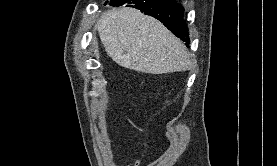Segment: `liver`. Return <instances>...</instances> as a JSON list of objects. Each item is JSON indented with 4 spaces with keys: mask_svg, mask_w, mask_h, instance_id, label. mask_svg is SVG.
Instances as JSON below:
<instances>
[{
    "mask_svg": "<svg viewBox=\"0 0 277 166\" xmlns=\"http://www.w3.org/2000/svg\"><path fill=\"white\" fill-rule=\"evenodd\" d=\"M95 27L108 56L124 68L163 74L191 66L182 41L162 23L135 8L109 10Z\"/></svg>",
    "mask_w": 277,
    "mask_h": 166,
    "instance_id": "liver-1",
    "label": "liver"
}]
</instances>
